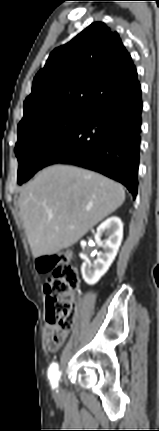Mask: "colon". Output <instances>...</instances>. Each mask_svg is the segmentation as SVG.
<instances>
[{
	"instance_id": "obj_1",
	"label": "colon",
	"mask_w": 159,
	"mask_h": 431,
	"mask_svg": "<svg viewBox=\"0 0 159 431\" xmlns=\"http://www.w3.org/2000/svg\"><path fill=\"white\" fill-rule=\"evenodd\" d=\"M36 267L40 273L51 272L44 286L48 320L56 322L63 329L71 328L76 312L72 292L79 285L78 273L71 263V255L60 252L40 256L36 260Z\"/></svg>"
}]
</instances>
